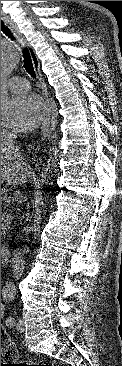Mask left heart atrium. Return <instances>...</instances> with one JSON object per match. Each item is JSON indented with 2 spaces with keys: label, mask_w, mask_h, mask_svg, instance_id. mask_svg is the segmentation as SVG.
<instances>
[{
  "label": "left heart atrium",
  "mask_w": 122,
  "mask_h": 366,
  "mask_svg": "<svg viewBox=\"0 0 122 366\" xmlns=\"http://www.w3.org/2000/svg\"><path fill=\"white\" fill-rule=\"evenodd\" d=\"M44 115V104L34 94L15 96L10 101L8 124L17 130L35 128Z\"/></svg>",
  "instance_id": "obj_1"
}]
</instances>
